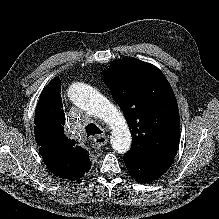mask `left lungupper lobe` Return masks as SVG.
I'll use <instances>...</instances> for the list:
<instances>
[{"label":"left lung upper lobe","mask_w":219,"mask_h":219,"mask_svg":"<svg viewBox=\"0 0 219 219\" xmlns=\"http://www.w3.org/2000/svg\"><path fill=\"white\" fill-rule=\"evenodd\" d=\"M102 75L133 135L126 155L173 161L180 139V117L163 73L152 64L125 58L113 61Z\"/></svg>","instance_id":"obj_1"}]
</instances>
